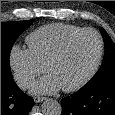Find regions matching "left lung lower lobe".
I'll use <instances>...</instances> for the list:
<instances>
[{"label":"left lung lower lobe","mask_w":115,"mask_h":115,"mask_svg":"<svg viewBox=\"0 0 115 115\" xmlns=\"http://www.w3.org/2000/svg\"><path fill=\"white\" fill-rule=\"evenodd\" d=\"M61 103V115H115V81L80 89Z\"/></svg>","instance_id":"0a47b994"}]
</instances>
